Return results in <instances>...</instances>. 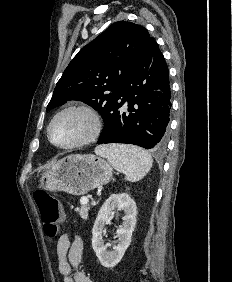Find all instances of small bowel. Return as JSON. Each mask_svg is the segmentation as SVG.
<instances>
[{"instance_id": "1", "label": "small bowel", "mask_w": 232, "mask_h": 282, "mask_svg": "<svg viewBox=\"0 0 232 282\" xmlns=\"http://www.w3.org/2000/svg\"><path fill=\"white\" fill-rule=\"evenodd\" d=\"M58 270L63 282H92L80 269L83 258V241L76 234H62L56 245Z\"/></svg>"}]
</instances>
